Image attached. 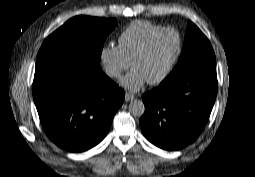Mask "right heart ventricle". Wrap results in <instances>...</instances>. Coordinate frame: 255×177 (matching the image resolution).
<instances>
[{
  "mask_svg": "<svg viewBox=\"0 0 255 177\" xmlns=\"http://www.w3.org/2000/svg\"><path fill=\"white\" fill-rule=\"evenodd\" d=\"M164 26L149 21L137 20L131 22L119 36V46L130 63L147 39Z\"/></svg>",
  "mask_w": 255,
  "mask_h": 177,
  "instance_id": "e07e8e85",
  "label": "right heart ventricle"
}]
</instances>
